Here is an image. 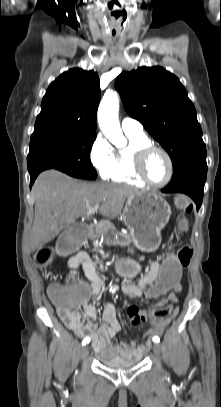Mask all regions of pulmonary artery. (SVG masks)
I'll list each match as a JSON object with an SVG mask.
<instances>
[{
  "instance_id": "obj_1",
  "label": "pulmonary artery",
  "mask_w": 221,
  "mask_h": 407,
  "mask_svg": "<svg viewBox=\"0 0 221 407\" xmlns=\"http://www.w3.org/2000/svg\"><path fill=\"white\" fill-rule=\"evenodd\" d=\"M121 127L125 133L143 134L142 124L133 118L125 117L121 121Z\"/></svg>"
}]
</instances>
